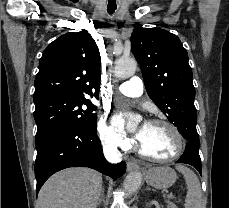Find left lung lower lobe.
<instances>
[{"label":"left lung lower lobe","mask_w":229,"mask_h":208,"mask_svg":"<svg viewBox=\"0 0 229 208\" xmlns=\"http://www.w3.org/2000/svg\"><path fill=\"white\" fill-rule=\"evenodd\" d=\"M181 135L187 140V143L183 155L176 161V163L190 164L199 171L200 175H202L201 159L199 155V136L197 130H186Z\"/></svg>","instance_id":"obj_1"}]
</instances>
